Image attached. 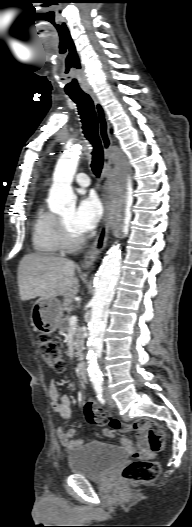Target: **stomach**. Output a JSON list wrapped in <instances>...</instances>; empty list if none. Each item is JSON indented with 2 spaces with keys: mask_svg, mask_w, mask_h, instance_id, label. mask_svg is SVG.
Returning <instances> with one entry per match:
<instances>
[{
  "mask_svg": "<svg viewBox=\"0 0 192 527\" xmlns=\"http://www.w3.org/2000/svg\"><path fill=\"white\" fill-rule=\"evenodd\" d=\"M63 310V305L56 298H39L31 311L34 328L43 334L53 333L60 326Z\"/></svg>",
  "mask_w": 192,
  "mask_h": 527,
  "instance_id": "obj_1",
  "label": "stomach"
}]
</instances>
